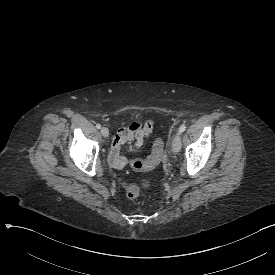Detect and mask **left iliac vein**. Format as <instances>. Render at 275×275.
<instances>
[{"mask_svg": "<svg viewBox=\"0 0 275 275\" xmlns=\"http://www.w3.org/2000/svg\"><path fill=\"white\" fill-rule=\"evenodd\" d=\"M180 136H181L180 133H178L172 140V151L176 154L180 151V148H181Z\"/></svg>", "mask_w": 275, "mask_h": 275, "instance_id": "left-iliac-vein-1", "label": "left iliac vein"}]
</instances>
